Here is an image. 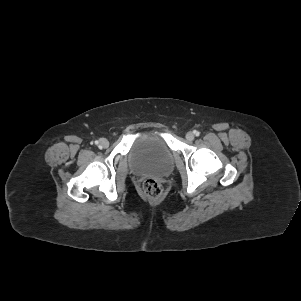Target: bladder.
<instances>
[{"label": "bladder", "mask_w": 301, "mask_h": 301, "mask_svg": "<svg viewBox=\"0 0 301 301\" xmlns=\"http://www.w3.org/2000/svg\"><path fill=\"white\" fill-rule=\"evenodd\" d=\"M131 171L138 175H168L174 166L172 150L160 134H150L138 138L129 153Z\"/></svg>", "instance_id": "bladder-1"}]
</instances>
